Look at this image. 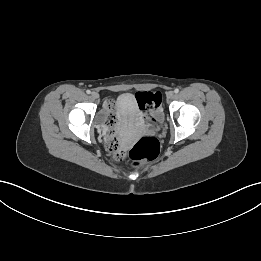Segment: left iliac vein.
<instances>
[{
  "label": "left iliac vein",
  "mask_w": 261,
  "mask_h": 261,
  "mask_svg": "<svg viewBox=\"0 0 261 261\" xmlns=\"http://www.w3.org/2000/svg\"><path fill=\"white\" fill-rule=\"evenodd\" d=\"M166 96H167L168 99H172L174 97V92L169 91Z\"/></svg>",
  "instance_id": "4c4485c4"
}]
</instances>
